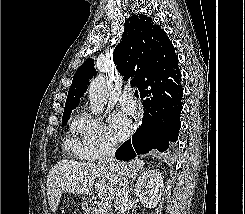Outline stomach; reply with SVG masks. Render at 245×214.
<instances>
[{"label": "stomach", "mask_w": 245, "mask_h": 214, "mask_svg": "<svg viewBox=\"0 0 245 214\" xmlns=\"http://www.w3.org/2000/svg\"><path fill=\"white\" fill-rule=\"evenodd\" d=\"M82 205H85V202L83 201Z\"/></svg>", "instance_id": "1"}]
</instances>
